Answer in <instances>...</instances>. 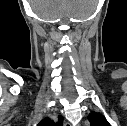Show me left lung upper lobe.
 I'll return each instance as SVG.
<instances>
[{
	"instance_id": "obj_1",
	"label": "left lung upper lobe",
	"mask_w": 127,
	"mask_h": 126,
	"mask_svg": "<svg viewBox=\"0 0 127 126\" xmlns=\"http://www.w3.org/2000/svg\"><path fill=\"white\" fill-rule=\"evenodd\" d=\"M88 120L90 121L91 126H111L106 118L97 112L89 114Z\"/></svg>"
}]
</instances>
